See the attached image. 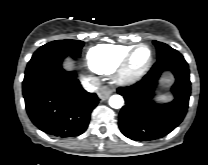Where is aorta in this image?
<instances>
[{"instance_id": "obj_1", "label": "aorta", "mask_w": 208, "mask_h": 165, "mask_svg": "<svg viewBox=\"0 0 208 165\" xmlns=\"http://www.w3.org/2000/svg\"><path fill=\"white\" fill-rule=\"evenodd\" d=\"M109 105L114 109H120L124 105V99L120 95H112L109 98Z\"/></svg>"}]
</instances>
